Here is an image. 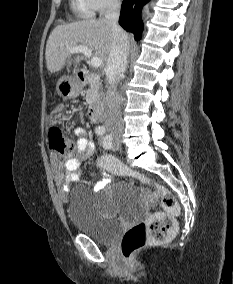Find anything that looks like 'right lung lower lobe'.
I'll return each mask as SVG.
<instances>
[{"label":"right lung lower lobe","instance_id":"right-lung-lower-lobe-1","mask_svg":"<svg viewBox=\"0 0 233 284\" xmlns=\"http://www.w3.org/2000/svg\"><path fill=\"white\" fill-rule=\"evenodd\" d=\"M149 0H123L119 24L134 34L139 40L142 35L143 23L141 20V10Z\"/></svg>","mask_w":233,"mask_h":284}]
</instances>
